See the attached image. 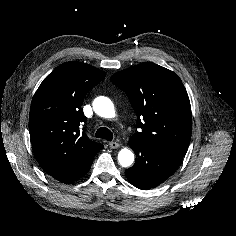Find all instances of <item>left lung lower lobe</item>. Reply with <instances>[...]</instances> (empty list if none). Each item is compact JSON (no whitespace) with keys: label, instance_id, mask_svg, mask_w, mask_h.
<instances>
[{"label":"left lung lower lobe","instance_id":"obj_1","mask_svg":"<svg viewBox=\"0 0 236 236\" xmlns=\"http://www.w3.org/2000/svg\"><path fill=\"white\" fill-rule=\"evenodd\" d=\"M136 154L133 167L125 171V176L135 187L148 190L164 182L179 166L183 156L176 153L129 141Z\"/></svg>","mask_w":236,"mask_h":236}]
</instances>
